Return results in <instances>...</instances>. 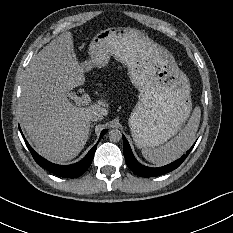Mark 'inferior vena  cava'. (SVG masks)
<instances>
[{
	"instance_id": "inferior-vena-cava-1",
	"label": "inferior vena cava",
	"mask_w": 233,
	"mask_h": 233,
	"mask_svg": "<svg viewBox=\"0 0 233 233\" xmlns=\"http://www.w3.org/2000/svg\"><path fill=\"white\" fill-rule=\"evenodd\" d=\"M103 113L100 111V110H93L90 114H89V116H88V118H89V120H91V121H98V120H102L103 119Z\"/></svg>"
}]
</instances>
